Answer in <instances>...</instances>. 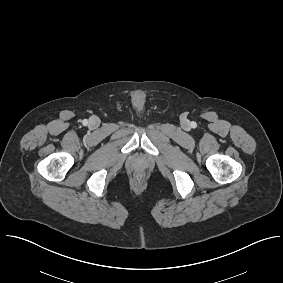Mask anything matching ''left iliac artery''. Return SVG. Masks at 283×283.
<instances>
[{
    "instance_id": "1",
    "label": "left iliac artery",
    "mask_w": 283,
    "mask_h": 283,
    "mask_svg": "<svg viewBox=\"0 0 283 283\" xmlns=\"http://www.w3.org/2000/svg\"><path fill=\"white\" fill-rule=\"evenodd\" d=\"M191 126H192L193 128H195V127H196V123H195V122H192V123H191Z\"/></svg>"
}]
</instances>
